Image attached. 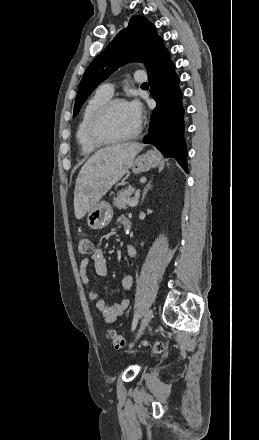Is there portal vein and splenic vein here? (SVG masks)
Listing matches in <instances>:
<instances>
[{
    "label": "portal vein and splenic vein",
    "instance_id": "1",
    "mask_svg": "<svg viewBox=\"0 0 259 440\" xmlns=\"http://www.w3.org/2000/svg\"><path fill=\"white\" fill-rule=\"evenodd\" d=\"M136 199H133V200H131L130 202H129V206L130 207H135V206H137V204H138V196H139V193H136Z\"/></svg>",
    "mask_w": 259,
    "mask_h": 440
}]
</instances>
